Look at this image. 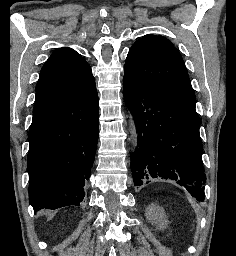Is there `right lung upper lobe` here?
I'll use <instances>...</instances> for the list:
<instances>
[{
    "instance_id": "1",
    "label": "right lung upper lobe",
    "mask_w": 236,
    "mask_h": 256,
    "mask_svg": "<svg viewBox=\"0 0 236 256\" xmlns=\"http://www.w3.org/2000/svg\"><path fill=\"white\" fill-rule=\"evenodd\" d=\"M94 83L88 63L71 48L57 49L45 62L38 80L33 118L56 107Z\"/></svg>"
}]
</instances>
